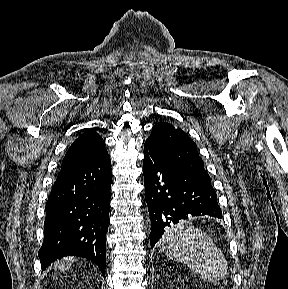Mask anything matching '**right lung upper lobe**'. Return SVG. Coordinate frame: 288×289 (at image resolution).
I'll return each mask as SVG.
<instances>
[{"label": "right lung upper lobe", "instance_id": "cb5924a9", "mask_svg": "<svg viewBox=\"0 0 288 289\" xmlns=\"http://www.w3.org/2000/svg\"><path fill=\"white\" fill-rule=\"evenodd\" d=\"M106 152L104 140L98 133L89 130L73 142L62 161V166L96 159Z\"/></svg>", "mask_w": 288, "mask_h": 289}]
</instances>
